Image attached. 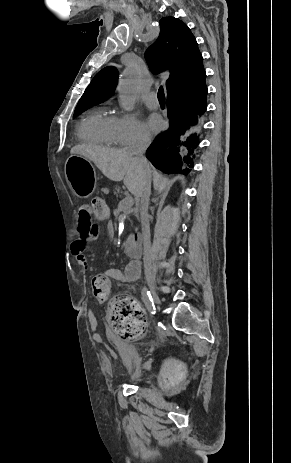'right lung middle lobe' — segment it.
<instances>
[{"mask_svg":"<svg viewBox=\"0 0 291 463\" xmlns=\"http://www.w3.org/2000/svg\"><path fill=\"white\" fill-rule=\"evenodd\" d=\"M90 105H93V104H80V105H77V107L75 109V112H74V116L79 114L84 109L88 108Z\"/></svg>","mask_w":291,"mask_h":463,"instance_id":"right-lung-middle-lobe-1","label":"right lung middle lobe"}]
</instances>
